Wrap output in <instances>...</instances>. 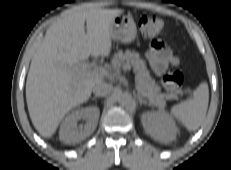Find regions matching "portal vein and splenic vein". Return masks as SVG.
Instances as JSON below:
<instances>
[{
	"label": "portal vein and splenic vein",
	"mask_w": 231,
	"mask_h": 170,
	"mask_svg": "<svg viewBox=\"0 0 231 170\" xmlns=\"http://www.w3.org/2000/svg\"><path fill=\"white\" fill-rule=\"evenodd\" d=\"M90 67H91V64L85 63V64L81 65V70L84 73H91V74H93L95 76H98V77L110 76V74L108 73V71L105 70L102 67H95L93 70H91ZM123 69L124 70H131V66L130 65H124ZM136 88L138 89V91L143 96H147L148 97V94L141 89V87L139 86V84L137 83V81H136Z\"/></svg>",
	"instance_id": "obj_1"
}]
</instances>
